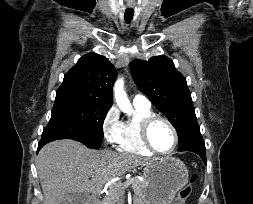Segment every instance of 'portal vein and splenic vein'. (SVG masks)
Returning a JSON list of instances; mask_svg holds the SVG:
<instances>
[{"instance_id":"18ae733b","label":"portal vein and splenic vein","mask_w":253,"mask_h":204,"mask_svg":"<svg viewBox=\"0 0 253 204\" xmlns=\"http://www.w3.org/2000/svg\"><path fill=\"white\" fill-rule=\"evenodd\" d=\"M133 180H134V177L127 179L123 184H121V186H123L124 188L128 187L133 182Z\"/></svg>"}]
</instances>
